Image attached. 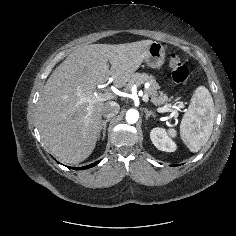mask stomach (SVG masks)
<instances>
[{
	"instance_id": "1",
	"label": "stomach",
	"mask_w": 236,
	"mask_h": 236,
	"mask_svg": "<svg viewBox=\"0 0 236 236\" xmlns=\"http://www.w3.org/2000/svg\"><path fill=\"white\" fill-rule=\"evenodd\" d=\"M145 62L152 68H160L165 61V49L159 42H153L146 53Z\"/></svg>"
}]
</instances>
